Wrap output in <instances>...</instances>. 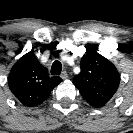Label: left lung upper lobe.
<instances>
[{"mask_svg":"<svg viewBox=\"0 0 133 133\" xmlns=\"http://www.w3.org/2000/svg\"><path fill=\"white\" fill-rule=\"evenodd\" d=\"M80 67V74L73 79L74 85L90 105L103 107L114 96L120 83L116 67L93 46H86Z\"/></svg>","mask_w":133,"mask_h":133,"instance_id":"5c2ea615","label":"left lung upper lobe"}]
</instances>
